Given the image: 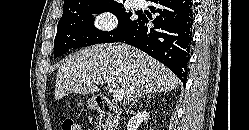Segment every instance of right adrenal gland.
<instances>
[{"label":"right adrenal gland","mask_w":249,"mask_h":130,"mask_svg":"<svg viewBox=\"0 0 249 130\" xmlns=\"http://www.w3.org/2000/svg\"><path fill=\"white\" fill-rule=\"evenodd\" d=\"M142 98H143L144 100H145V99H146V100H149V99H151V94H149V95H147V96H143ZM138 100H139V99L135 100V101L131 104V106L134 105L136 102H138ZM131 106H130V108H131ZM130 108H129V109H130ZM129 109H128L127 112H129Z\"/></svg>","instance_id":"1"}]
</instances>
